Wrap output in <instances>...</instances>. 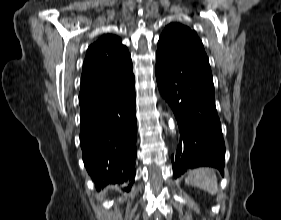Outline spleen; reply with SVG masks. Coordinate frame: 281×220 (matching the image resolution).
Returning a JSON list of instances; mask_svg holds the SVG:
<instances>
[{"label":"spleen","instance_id":"spleen-1","mask_svg":"<svg viewBox=\"0 0 281 220\" xmlns=\"http://www.w3.org/2000/svg\"><path fill=\"white\" fill-rule=\"evenodd\" d=\"M185 183L190 184L211 194L218 193V182L214 171L207 167H201L189 172L185 178Z\"/></svg>","mask_w":281,"mask_h":220}]
</instances>
